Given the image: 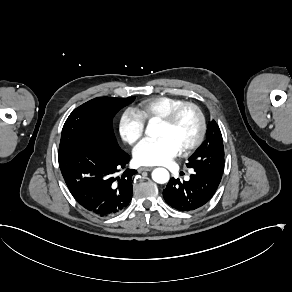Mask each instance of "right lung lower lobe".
I'll list each match as a JSON object with an SVG mask.
<instances>
[{"instance_id":"1","label":"right lung lower lobe","mask_w":292,"mask_h":292,"mask_svg":"<svg viewBox=\"0 0 292 292\" xmlns=\"http://www.w3.org/2000/svg\"><path fill=\"white\" fill-rule=\"evenodd\" d=\"M130 156L121 148L114 152L90 147L59 149L58 161L65 183L75 200L89 212L109 216L125 209L133 193L132 176L126 169Z\"/></svg>"}]
</instances>
